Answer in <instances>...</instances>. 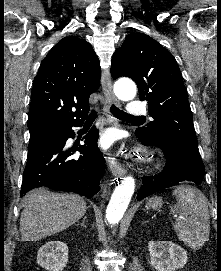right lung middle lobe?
Masks as SVG:
<instances>
[{
	"label": "right lung middle lobe",
	"mask_w": 221,
	"mask_h": 271,
	"mask_svg": "<svg viewBox=\"0 0 221 271\" xmlns=\"http://www.w3.org/2000/svg\"><path fill=\"white\" fill-rule=\"evenodd\" d=\"M63 131H64V127H58V126L46 127V128L30 131V140H29L28 149L36 145L56 139L59 135L63 133Z\"/></svg>",
	"instance_id": "right-lung-middle-lobe-1"
}]
</instances>
